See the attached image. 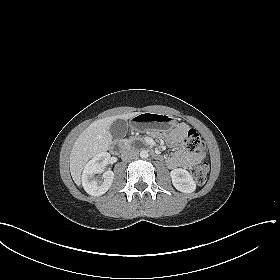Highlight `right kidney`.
Returning a JSON list of instances; mask_svg holds the SVG:
<instances>
[{"label":"right kidney","instance_id":"right-kidney-1","mask_svg":"<svg viewBox=\"0 0 280 280\" xmlns=\"http://www.w3.org/2000/svg\"><path fill=\"white\" fill-rule=\"evenodd\" d=\"M110 154L101 152L93 157L84 167L82 174V186L91 196H101L110 188L113 179V171H106L101 181L97 180L96 174L103 172L104 167L108 164Z\"/></svg>","mask_w":280,"mask_h":280}]
</instances>
